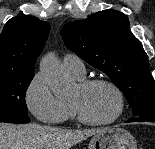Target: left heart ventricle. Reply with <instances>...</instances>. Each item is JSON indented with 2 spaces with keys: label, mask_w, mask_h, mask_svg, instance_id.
I'll use <instances>...</instances> for the list:
<instances>
[{
  "label": "left heart ventricle",
  "mask_w": 155,
  "mask_h": 149,
  "mask_svg": "<svg viewBox=\"0 0 155 149\" xmlns=\"http://www.w3.org/2000/svg\"><path fill=\"white\" fill-rule=\"evenodd\" d=\"M70 101L76 103L88 118L95 121L113 117L118 104L115 93L104 85H96L87 90L77 85Z\"/></svg>",
  "instance_id": "obj_1"
}]
</instances>
